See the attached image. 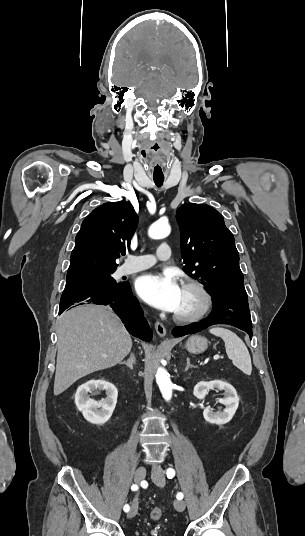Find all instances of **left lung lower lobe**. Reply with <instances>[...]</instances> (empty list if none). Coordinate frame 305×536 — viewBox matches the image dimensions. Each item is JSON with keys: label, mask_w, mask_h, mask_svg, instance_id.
Returning a JSON list of instances; mask_svg holds the SVG:
<instances>
[{"label": "left lung lower lobe", "mask_w": 305, "mask_h": 536, "mask_svg": "<svg viewBox=\"0 0 305 536\" xmlns=\"http://www.w3.org/2000/svg\"><path fill=\"white\" fill-rule=\"evenodd\" d=\"M214 324H229L246 331L252 338V322L247 294H226L213 297V311L203 321L175 327L172 335L184 336L199 332Z\"/></svg>", "instance_id": "left-lung-lower-lobe-1"}]
</instances>
